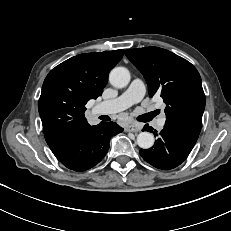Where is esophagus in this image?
<instances>
[{"mask_svg":"<svg viewBox=\"0 0 231 231\" xmlns=\"http://www.w3.org/2000/svg\"><path fill=\"white\" fill-rule=\"evenodd\" d=\"M126 130L128 132H139L141 131V126L138 124H130L127 126Z\"/></svg>","mask_w":231,"mask_h":231,"instance_id":"obj_1","label":"esophagus"}]
</instances>
